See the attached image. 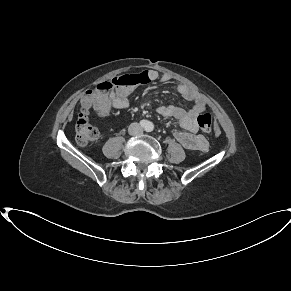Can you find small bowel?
Returning a JSON list of instances; mask_svg holds the SVG:
<instances>
[{"instance_id":"small-bowel-1","label":"small bowel","mask_w":291,"mask_h":291,"mask_svg":"<svg viewBox=\"0 0 291 291\" xmlns=\"http://www.w3.org/2000/svg\"><path fill=\"white\" fill-rule=\"evenodd\" d=\"M140 79L153 81L160 79L167 82L171 79L169 74L159 76L155 70H148L140 74ZM134 91L133 86L121 87L112 92L109 97L96 101L95 110L99 116H105L111 107L126 109L129 107L130 98ZM177 92L182 98L193 102L190 109H184L175 105H162L157 108V112L163 117H170L178 120L180 126L185 130L174 133L176 140L186 149L203 152L207 149V140L198 134L197 117L206 110V102L190 86L180 83Z\"/></svg>"}]
</instances>
